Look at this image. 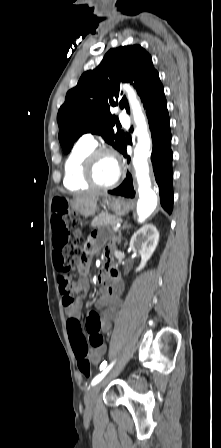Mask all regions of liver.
Masks as SVG:
<instances>
[{
    "instance_id": "obj_1",
    "label": "liver",
    "mask_w": 221,
    "mask_h": 448,
    "mask_svg": "<svg viewBox=\"0 0 221 448\" xmlns=\"http://www.w3.org/2000/svg\"><path fill=\"white\" fill-rule=\"evenodd\" d=\"M106 193H89L76 197L74 203H88L90 201L96 200L100 196H105Z\"/></svg>"
}]
</instances>
